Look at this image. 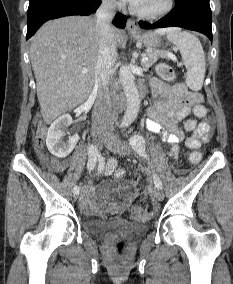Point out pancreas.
I'll use <instances>...</instances> for the list:
<instances>
[{"label": "pancreas", "mask_w": 233, "mask_h": 284, "mask_svg": "<svg viewBox=\"0 0 233 284\" xmlns=\"http://www.w3.org/2000/svg\"><path fill=\"white\" fill-rule=\"evenodd\" d=\"M146 57L148 61L146 63H142V67L144 70H148L154 63L157 62L159 58H166L167 51L163 50H153L146 53Z\"/></svg>", "instance_id": "1"}]
</instances>
